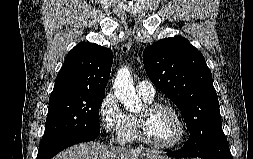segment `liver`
<instances>
[{
  "label": "liver",
  "instance_id": "obj_1",
  "mask_svg": "<svg viewBox=\"0 0 253 159\" xmlns=\"http://www.w3.org/2000/svg\"><path fill=\"white\" fill-rule=\"evenodd\" d=\"M170 159L140 149H127L101 144L99 142H85L74 145L56 155L53 159Z\"/></svg>",
  "mask_w": 253,
  "mask_h": 159
}]
</instances>
